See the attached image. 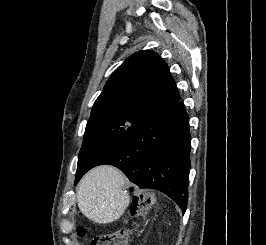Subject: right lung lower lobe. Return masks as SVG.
Segmentation results:
<instances>
[{"label":"right lung lower lobe","mask_w":266,"mask_h":245,"mask_svg":"<svg viewBox=\"0 0 266 245\" xmlns=\"http://www.w3.org/2000/svg\"><path fill=\"white\" fill-rule=\"evenodd\" d=\"M191 136L183 103L163 107L141 119L116 144L99 155L91 168L110 164L139 188L159 190L185 213L188 202Z\"/></svg>","instance_id":"right-lung-lower-lobe-1"}]
</instances>
